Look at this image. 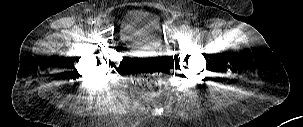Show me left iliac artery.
<instances>
[{"instance_id":"obj_1","label":"left iliac artery","mask_w":303,"mask_h":127,"mask_svg":"<svg viewBox=\"0 0 303 127\" xmlns=\"http://www.w3.org/2000/svg\"><path fill=\"white\" fill-rule=\"evenodd\" d=\"M192 31L194 34L198 32L197 29H193Z\"/></svg>"}]
</instances>
